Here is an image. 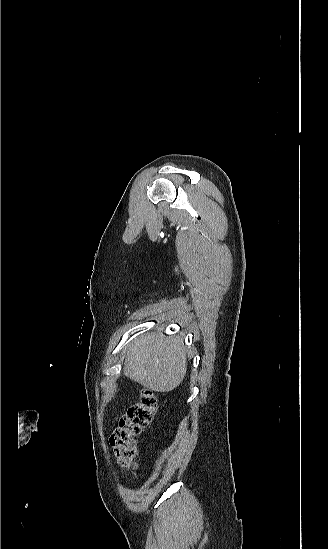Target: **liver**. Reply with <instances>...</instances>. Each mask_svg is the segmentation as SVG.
<instances>
[{
	"label": "liver",
	"mask_w": 328,
	"mask_h": 549,
	"mask_svg": "<svg viewBox=\"0 0 328 549\" xmlns=\"http://www.w3.org/2000/svg\"><path fill=\"white\" fill-rule=\"evenodd\" d=\"M186 349L181 337H163L162 331L134 339L127 351L123 375L145 389L167 393L182 383Z\"/></svg>",
	"instance_id": "obj_1"
}]
</instances>
